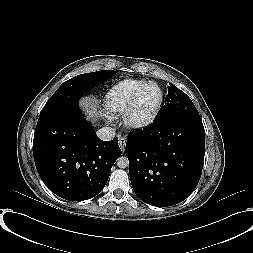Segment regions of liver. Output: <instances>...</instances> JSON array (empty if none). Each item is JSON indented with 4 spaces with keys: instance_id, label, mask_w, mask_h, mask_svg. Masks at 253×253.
<instances>
[{
    "instance_id": "obj_1",
    "label": "liver",
    "mask_w": 253,
    "mask_h": 253,
    "mask_svg": "<svg viewBox=\"0 0 253 253\" xmlns=\"http://www.w3.org/2000/svg\"><path fill=\"white\" fill-rule=\"evenodd\" d=\"M80 106L88 115V119L92 122H95L96 118L102 115L101 111L99 110L97 100L92 96L83 97L80 100Z\"/></svg>"
}]
</instances>
